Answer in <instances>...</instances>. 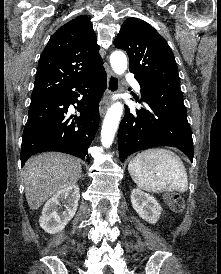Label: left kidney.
I'll use <instances>...</instances> for the list:
<instances>
[{"mask_svg": "<svg viewBox=\"0 0 221 274\" xmlns=\"http://www.w3.org/2000/svg\"><path fill=\"white\" fill-rule=\"evenodd\" d=\"M131 203L134 210L143 220L151 224H155L158 221L162 209L153 196L140 189H133L131 192Z\"/></svg>", "mask_w": 221, "mask_h": 274, "instance_id": "1", "label": "left kidney"}]
</instances>
